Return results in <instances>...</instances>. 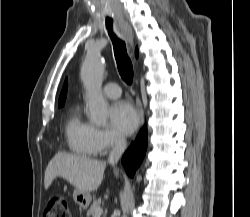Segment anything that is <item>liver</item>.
<instances>
[{"label": "liver", "mask_w": 250, "mask_h": 217, "mask_svg": "<svg viewBox=\"0 0 250 217\" xmlns=\"http://www.w3.org/2000/svg\"><path fill=\"white\" fill-rule=\"evenodd\" d=\"M105 167V162L59 152L46 168L44 187L47 190L55 178L61 177L76 190L91 192L100 186Z\"/></svg>", "instance_id": "1"}]
</instances>
